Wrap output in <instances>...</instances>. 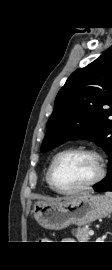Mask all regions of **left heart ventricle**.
I'll use <instances>...</instances> for the list:
<instances>
[{
	"label": "left heart ventricle",
	"mask_w": 112,
	"mask_h": 270,
	"mask_svg": "<svg viewBox=\"0 0 112 270\" xmlns=\"http://www.w3.org/2000/svg\"><path fill=\"white\" fill-rule=\"evenodd\" d=\"M97 174L96 160L87 154L63 155L54 168V180L62 189H73L91 181Z\"/></svg>",
	"instance_id": "b2bd125f"
}]
</instances>
